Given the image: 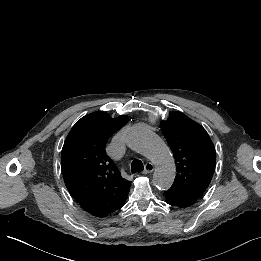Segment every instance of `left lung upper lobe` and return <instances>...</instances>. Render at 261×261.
Segmentation results:
<instances>
[{"label":"left lung upper lobe","instance_id":"5c2ea615","mask_svg":"<svg viewBox=\"0 0 261 261\" xmlns=\"http://www.w3.org/2000/svg\"><path fill=\"white\" fill-rule=\"evenodd\" d=\"M161 128L176 161L171 189L194 198L208 187L215 170V149L205 129L181 112L171 111Z\"/></svg>","mask_w":261,"mask_h":261}]
</instances>
